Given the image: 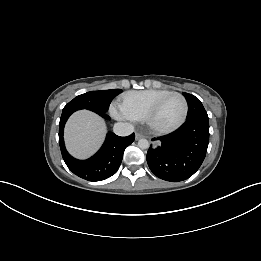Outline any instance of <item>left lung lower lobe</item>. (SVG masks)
<instances>
[{"label":"left lung lower lobe","mask_w":261,"mask_h":261,"mask_svg":"<svg viewBox=\"0 0 261 261\" xmlns=\"http://www.w3.org/2000/svg\"><path fill=\"white\" fill-rule=\"evenodd\" d=\"M147 152L150 170L159 178L179 182L191 177L201 166L209 143L208 117L187 120L174 133L154 138Z\"/></svg>","instance_id":"1"}]
</instances>
